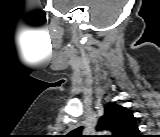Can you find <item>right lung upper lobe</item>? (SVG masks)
I'll use <instances>...</instances> for the list:
<instances>
[{
  "label": "right lung upper lobe",
  "mask_w": 160,
  "mask_h": 137,
  "mask_svg": "<svg viewBox=\"0 0 160 137\" xmlns=\"http://www.w3.org/2000/svg\"><path fill=\"white\" fill-rule=\"evenodd\" d=\"M82 127L79 128L80 134ZM97 130H109L115 137H136L138 126L133 114L120 105L109 103L104 107V115L99 119Z\"/></svg>",
  "instance_id": "1"
}]
</instances>
